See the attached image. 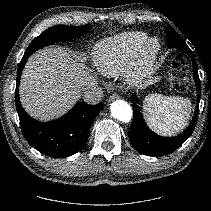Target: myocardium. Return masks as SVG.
I'll return each mask as SVG.
<instances>
[{"mask_svg":"<svg viewBox=\"0 0 211 211\" xmlns=\"http://www.w3.org/2000/svg\"><path fill=\"white\" fill-rule=\"evenodd\" d=\"M161 54V40L156 36H147L136 54L135 61L127 70V84L135 87L150 77L159 63Z\"/></svg>","mask_w":211,"mask_h":211,"instance_id":"f54148a6","label":"myocardium"}]
</instances>
